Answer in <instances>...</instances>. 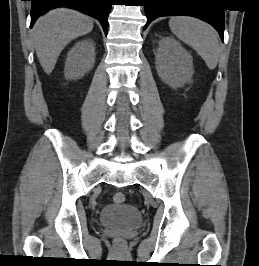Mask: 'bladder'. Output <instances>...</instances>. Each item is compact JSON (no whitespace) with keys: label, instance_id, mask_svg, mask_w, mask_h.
<instances>
[{"label":"bladder","instance_id":"31cf9c89","mask_svg":"<svg viewBox=\"0 0 259 266\" xmlns=\"http://www.w3.org/2000/svg\"><path fill=\"white\" fill-rule=\"evenodd\" d=\"M143 221L141 212L131 204H116L104 207L99 215L102 226L117 229H135Z\"/></svg>","mask_w":259,"mask_h":266}]
</instances>
